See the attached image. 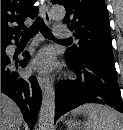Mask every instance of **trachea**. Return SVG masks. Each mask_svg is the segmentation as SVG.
<instances>
[{
    "label": "trachea",
    "instance_id": "obj_1",
    "mask_svg": "<svg viewBox=\"0 0 123 130\" xmlns=\"http://www.w3.org/2000/svg\"><path fill=\"white\" fill-rule=\"evenodd\" d=\"M41 32L42 35L46 38L58 40V41H69V40H59L56 39L50 29L45 25L44 21L39 17L36 19L34 25L26 30L21 38L22 41H29L34 35L38 32Z\"/></svg>",
    "mask_w": 123,
    "mask_h": 130
}]
</instances>
